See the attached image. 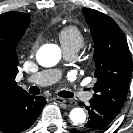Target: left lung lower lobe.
I'll return each instance as SVG.
<instances>
[{
    "mask_svg": "<svg viewBox=\"0 0 133 133\" xmlns=\"http://www.w3.org/2000/svg\"><path fill=\"white\" fill-rule=\"evenodd\" d=\"M89 102L90 106H86L89 112V120L81 127L80 133H99L106 129L121 111L120 108L112 107L94 98Z\"/></svg>",
    "mask_w": 133,
    "mask_h": 133,
    "instance_id": "obj_1",
    "label": "left lung lower lobe"
}]
</instances>
